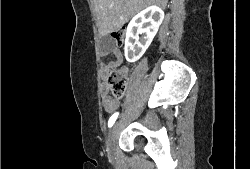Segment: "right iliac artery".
Segmentation results:
<instances>
[{"instance_id": "1", "label": "right iliac artery", "mask_w": 250, "mask_h": 169, "mask_svg": "<svg viewBox=\"0 0 250 169\" xmlns=\"http://www.w3.org/2000/svg\"><path fill=\"white\" fill-rule=\"evenodd\" d=\"M118 112L117 113H114L111 117H110V119H109V121H108V127H112L113 126V124L115 123V121H116V119H117V117H118Z\"/></svg>"}]
</instances>
